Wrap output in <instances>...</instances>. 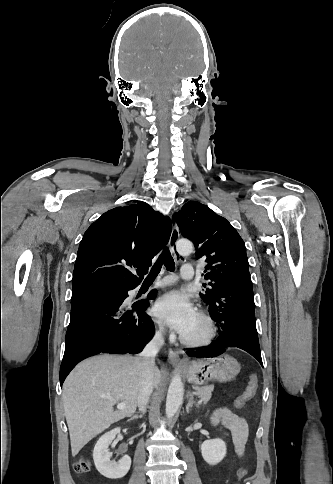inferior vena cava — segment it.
Listing matches in <instances>:
<instances>
[{"mask_svg":"<svg viewBox=\"0 0 333 484\" xmlns=\"http://www.w3.org/2000/svg\"><path fill=\"white\" fill-rule=\"evenodd\" d=\"M163 343L164 338L162 330L160 329L136 358V364L139 370L138 407L143 413L146 410L150 395L153 391L155 357Z\"/></svg>","mask_w":333,"mask_h":484,"instance_id":"obj_1","label":"inferior vena cava"}]
</instances>
